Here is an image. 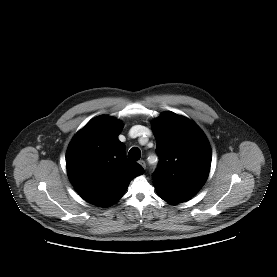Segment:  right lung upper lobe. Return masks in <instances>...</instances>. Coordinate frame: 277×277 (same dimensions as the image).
Here are the masks:
<instances>
[{"label":"right lung upper lobe","mask_w":277,"mask_h":277,"mask_svg":"<svg viewBox=\"0 0 277 277\" xmlns=\"http://www.w3.org/2000/svg\"><path fill=\"white\" fill-rule=\"evenodd\" d=\"M122 124L113 117L98 116L82 128L66 153L69 179L87 202L108 207L125 193L130 181L144 173L141 165L126 158L118 140Z\"/></svg>","instance_id":"cb5924a9"}]
</instances>
